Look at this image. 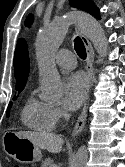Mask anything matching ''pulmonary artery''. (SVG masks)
<instances>
[{
	"label": "pulmonary artery",
	"instance_id": "e3ab8cb5",
	"mask_svg": "<svg viewBox=\"0 0 125 167\" xmlns=\"http://www.w3.org/2000/svg\"><path fill=\"white\" fill-rule=\"evenodd\" d=\"M55 63L62 69L73 70L75 68V56L66 49L60 50L55 56Z\"/></svg>",
	"mask_w": 125,
	"mask_h": 167
}]
</instances>
